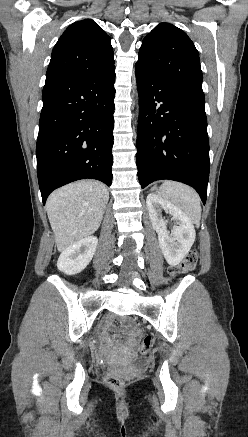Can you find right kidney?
Listing matches in <instances>:
<instances>
[{
	"label": "right kidney",
	"mask_w": 248,
	"mask_h": 437,
	"mask_svg": "<svg viewBox=\"0 0 248 437\" xmlns=\"http://www.w3.org/2000/svg\"><path fill=\"white\" fill-rule=\"evenodd\" d=\"M97 244L98 239L95 236H89L74 243L59 256L58 269L67 275L80 273L91 262Z\"/></svg>",
	"instance_id": "1"
}]
</instances>
